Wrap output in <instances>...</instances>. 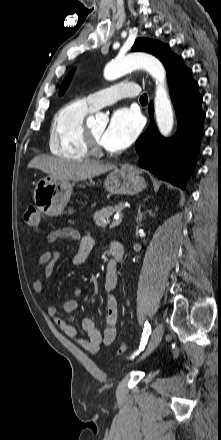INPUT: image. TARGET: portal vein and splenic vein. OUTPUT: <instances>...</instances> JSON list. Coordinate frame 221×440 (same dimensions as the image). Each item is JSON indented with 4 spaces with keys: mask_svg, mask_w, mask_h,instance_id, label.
<instances>
[{
    "mask_svg": "<svg viewBox=\"0 0 221 440\" xmlns=\"http://www.w3.org/2000/svg\"><path fill=\"white\" fill-rule=\"evenodd\" d=\"M121 221H122L121 218H119V217H118V218H115V219L112 221L110 227L118 226V225L121 223Z\"/></svg>",
    "mask_w": 221,
    "mask_h": 440,
    "instance_id": "1",
    "label": "portal vein and splenic vein"
}]
</instances>
